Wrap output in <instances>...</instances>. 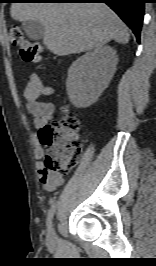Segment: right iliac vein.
Instances as JSON below:
<instances>
[{
  "label": "right iliac vein",
  "mask_w": 156,
  "mask_h": 266,
  "mask_svg": "<svg viewBox=\"0 0 156 266\" xmlns=\"http://www.w3.org/2000/svg\"><path fill=\"white\" fill-rule=\"evenodd\" d=\"M57 239L55 230L53 228V226H50L49 230H48V234H47V240L49 243H54Z\"/></svg>",
  "instance_id": "63e3f726"
}]
</instances>
